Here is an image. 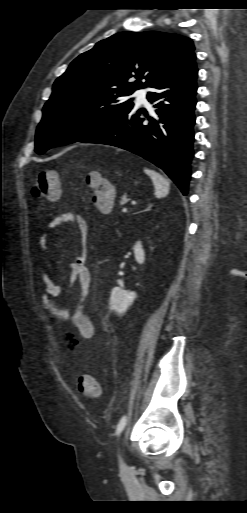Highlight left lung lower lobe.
I'll use <instances>...</instances> for the list:
<instances>
[{"mask_svg": "<svg viewBox=\"0 0 247 513\" xmlns=\"http://www.w3.org/2000/svg\"><path fill=\"white\" fill-rule=\"evenodd\" d=\"M195 59L190 58L175 75L152 87L155 92L147 95L154 103L152 116L132 108L109 127L79 142L111 145L135 153L163 169L186 195L196 119Z\"/></svg>", "mask_w": 247, "mask_h": 513, "instance_id": "left-lung-lower-lobe-1", "label": "left lung lower lobe"}]
</instances>
